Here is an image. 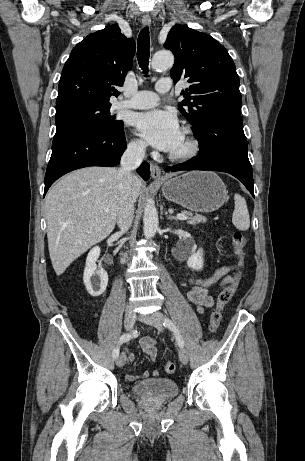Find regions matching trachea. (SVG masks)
Instances as JSON below:
<instances>
[{
	"label": "trachea",
	"instance_id": "trachea-1",
	"mask_svg": "<svg viewBox=\"0 0 305 461\" xmlns=\"http://www.w3.org/2000/svg\"><path fill=\"white\" fill-rule=\"evenodd\" d=\"M150 37L149 29L145 27L141 30L137 43V60L144 74H147L149 64ZM147 76V75H146Z\"/></svg>",
	"mask_w": 305,
	"mask_h": 461
}]
</instances>
